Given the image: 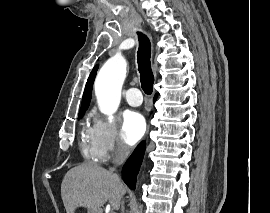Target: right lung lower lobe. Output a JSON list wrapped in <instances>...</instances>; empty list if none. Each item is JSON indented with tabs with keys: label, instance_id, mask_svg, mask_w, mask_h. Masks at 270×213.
I'll return each mask as SVG.
<instances>
[{
	"label": "right lung lower lobe",
	"instance_id": "obj_1",
	"mask_svg": "<svg viewBox=\"0 0 270 213\" xmlns=\"http://www.w3.org/2000/svg\"><path fill=\"white\" fill-rule=\"evenodd\" d=\"M156 100V96L154 101ZM145 152V142H142L130 156V158L125 163L122 176L124 182L128 185L129 188L135 189L136 177L142 163V159Z\"/></svg>",
	"mask_w": 270,
	"mask_h": 213
}]
</instances>
